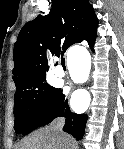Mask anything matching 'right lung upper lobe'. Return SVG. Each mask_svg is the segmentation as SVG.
<instances>
[{"label": "right lung upper lobe", "mask_w": 124, "mask_h": 149, "mask_svg": "<svg viewBox=\"0 0 124 149\" xmlns=\"http://www.w3.org/2000/svg\"><path fill=\"white\" fill-rule=\"evenodd\" d=\"M97 24L88 0H52L50 12L27 22L18 34L13 50L16 87L30 86L46 78V48L59 56L83 40L90 47L94 45Z\"/></svg>", "instance_id": "obj_1"}]
</instances>
